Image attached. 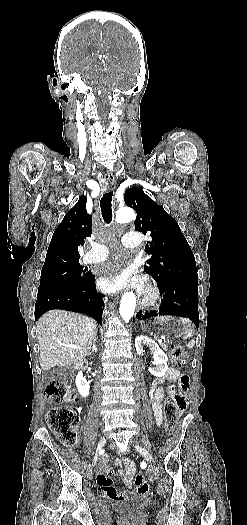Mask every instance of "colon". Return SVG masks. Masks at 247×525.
<instances>
[{
  "mask_svg": "<svg viewBox=\"0 0 247 525\" xmlns=\"http://www.w3.org/2000/svg\"><path fill=\"white\" fill-rule=\"evenodd\" d=\"M170 350L173 364L177 367L182 366L187 360L184 349L179 344L172 342L170 344ZM178 385L182 389L188 388L189 377L187 374H182L179 377ZM45 394L51 400L64 405L62 407L51 408L47 412L46 420L49 428L57 434L64 444L68 446L74 445L78 439L77 431L80 418L77 408L74 405L72 391L63 381L53 380L46 384ZM187 404L188 399L185 394H173L167 399L164 407V416L169 432L174 430L177 415L186 409ZM134 481L139 494L146 495L149 493L150 486L143 473H136Z\"/></svg>",
  "mask_w": 247,
  "mask_h": 525,
  "instance_id": "1",
  "label": "colon"
}]
</instances>
